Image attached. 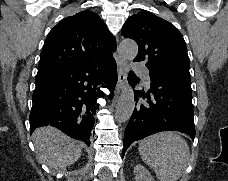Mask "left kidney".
<instances>
[{"mask_svg":"<svg viewBox=\"0 0 228 181\" xmlns=\"http://www.w3.org/2000/svg\"><path fill=\"white\" fill-rule=\"evenodd\" d=\"M135 181H154L151 173L143 167V165H135L134 167Z\"/></svg>","mask_w":228,"mask_h":181,"instance_id":"5707ae66","label":"left kidney"}]
</instances>
